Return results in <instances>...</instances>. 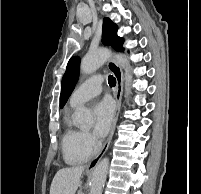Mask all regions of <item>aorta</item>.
I'll return each instance as SVG.
<instances>
[{
  "mask_svg": "<svg viewBox=\"0 0 201 194\" xmlns=\"http://www.w3.org/2000/svg\"><path fill=\"white\" fill-rule=\"evenodd\" d=\"M112 55L111 51L106 48H100L95 51L87 53L81 60L80 71L83 74H92L99 67H101L108 58ZM115 59L125 70V92L129 95L131 92L130 84L132 81L131 67L129 61L126 57L120 54L114 55ZM75 121L81 127H90L93 122V116L89 109L79 108L75 113ZM109 168V159H102L95 167L92 174L90 183V193L89 194H102V189L104 187L107 172Z\"/></svg>",
  "mask_w": 201,
  "mask_h": 194,
  "instance_id": "762f6f07",
  "label": "aorta"
}]
</instances>
